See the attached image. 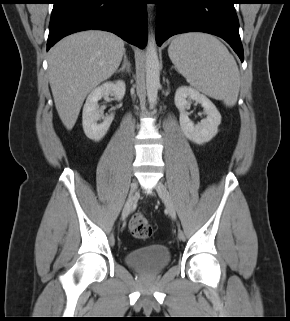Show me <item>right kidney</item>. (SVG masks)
Listing matches in <instances>:
<instances>
[{
    "label": "right kidney",
    "mask_w": 290,
    "mask_h": 321,
    "mask_svg": "<svg viewBox=\"0 0 290 321\" xmlns=\"http://www.w3.org/2000/svg\"><path fill=\"white\" fill-rule=\"evenodd\" d=\"M125 91V82L122 80L105 82L91 91L86 99L82 113L83 130L89 139L94 141L101 140L109 130L114 119V114H111L103 118L102 123H98L101 119V115L98 110V101L110 94L113 95L116 100L120 101L123 99Z\"/></svg>",
    "instance_id": "right-kidney-1"
}]
</instances>
